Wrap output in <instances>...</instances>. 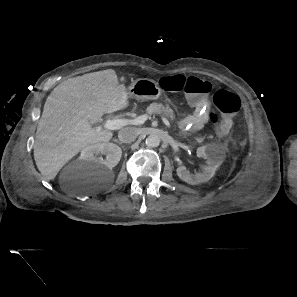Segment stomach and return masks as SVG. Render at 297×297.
I'll return each mask as SVG.
<instances>
[{
  "mask_svg": "<svg viewBox=\"0 0 297 297\" xmlns=\"http://www.w3.org/2000/svg\"><path fill=\"white\" fill-rule=\"evenodd\" d=\"M127 93L138 100H156L161 95V89L154 80L139 78L131 83Z\"/></svg>",
  "mask_w": 297,
  "mask_h": 297,
  "instance_id": "obj_1",
  "label": "stomach"
}]
</instances>
